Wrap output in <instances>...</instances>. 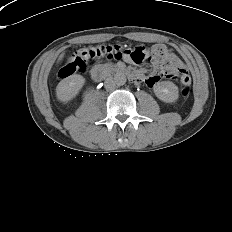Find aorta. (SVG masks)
I'll list each match as a JSON object with an SVG mask.
<instances>
[{"label":"aorta","instance_id":"1","mask_svg":"<svg viewBox=\"0 0 232 232\" xmlns=\"http://www.w3.org/2000/svg\"><path fill=\"white\" fill-rule=\"evenodd\" d=\"M114 81H115L116 85L122 86V85H124L126 83L127 78H126L125 74L118 73V74L115 75Z\"/></svg>","mask_w":232,"mask_h":232}]
</instances>
